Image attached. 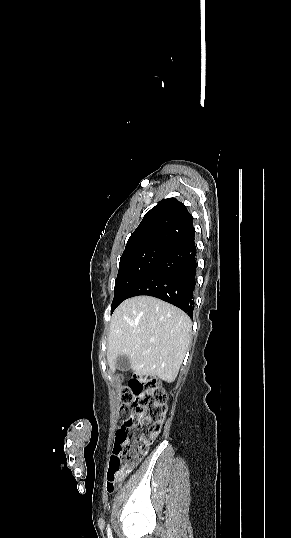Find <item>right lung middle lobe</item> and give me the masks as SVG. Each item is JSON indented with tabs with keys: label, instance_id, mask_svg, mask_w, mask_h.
<instances>
[{
	"label": "right lung middle lobe",
	"instance_id": "dd1d6c3e",
	"mask_svg": "<svg viewBox=\"0 0 291 538\" xmlns=\"http://www.w3.org/2000/svg\"><path fill=\"white\" fill-rule=\"evenodd\" d=\"M170 250L164 246H147L122 254L111 314L122 301L129 298L138 283Z\"/></svg>",
	"mask_w": 291,
	"mask_h": 538
}]
</instances>
